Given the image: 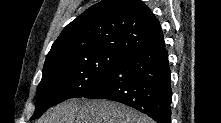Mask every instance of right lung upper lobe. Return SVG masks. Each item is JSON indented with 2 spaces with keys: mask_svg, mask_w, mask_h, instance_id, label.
<instances>
[{
  "mask_svg": "<svg viewBox=\"0 0 221 123\" xmlns=\"http://www.w3.org/2000/svg\"><path fill=\"white\" fill-rule=\"evenodd\" d=\"M164 44L159 21L140 0H102L69 23L45 63L91 49L129 54Z\"/></svg>",
  "mask_w": 221,
  "mask_h": 123,
  "instance_id": "1",
  "label": "right lung upper lobe"
}]
</instances>
